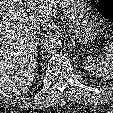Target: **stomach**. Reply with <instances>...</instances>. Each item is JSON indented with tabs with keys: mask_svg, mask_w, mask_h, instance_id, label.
I'll use <instances>...</instances> for the list:
<instances>
[{
	"mask_svg": "<svg viewBox=\"0 0 113 113\" xmlns=\"http://www.w3.org/2000/svg\"><path fill=\"white\" fill-rule=\"evenodd\" d=\"M65 17L70 20V33L79 43L92 41L98 30L94 20L86 14L84 0H61Z\"/></svg>",
	"mask_w": 113,
	"mask_h": 113,
	"instance_id": "1",
	"label": "stomach"
}]
</instances>
